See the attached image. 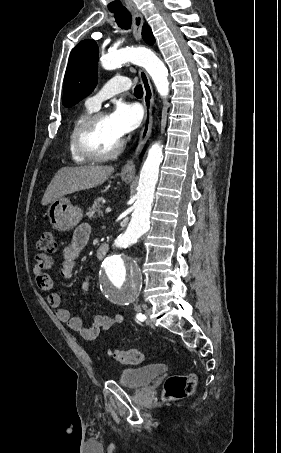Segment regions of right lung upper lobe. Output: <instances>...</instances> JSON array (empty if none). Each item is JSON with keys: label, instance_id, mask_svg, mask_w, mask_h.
Returning a JSON list of instances; mask_svg holds the SVG:
<instances>
[{"label": "right lung upper lobe", "instance_id": "1", "mask_svg": "<svg viewBox=\"0 0 281 453\" xmlns=\"http://www.w3.org/2000/svg\"><path fill=\"white\" fill-rule=\"evenodd\" d=\"M142 36H143L144 40L148 44H153L155 42V38H154V36L152 34V31H151V29H150V27L148 25H144L143 26Z\"/></svg>", "mask_w": 281, "mask_h": 453}]
</instances>
